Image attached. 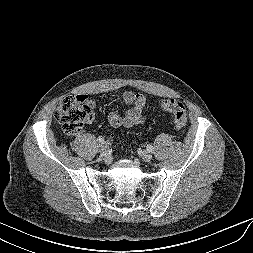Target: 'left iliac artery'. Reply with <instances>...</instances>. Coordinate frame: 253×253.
Wrapping results in <instances>:
<instances>
[{"label":"left iliac artery","mask_w":253,"mask_h":253,"mask_svg":"<svg viewBox=\"0 0 253 253\" xmlns=\"http://www.w3.org/2000/svg\"><path fill=\"white\" fill-rule=\"evenodd\" d=\"M147 150H148L149 152H152V151H153V146H152V145H147Z\"/></svg>","instance_id":"44dca946"}]
</instances>
